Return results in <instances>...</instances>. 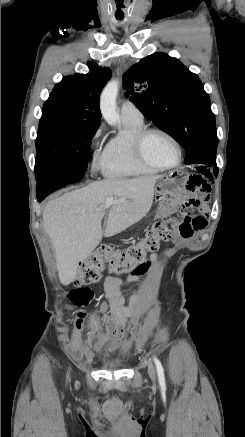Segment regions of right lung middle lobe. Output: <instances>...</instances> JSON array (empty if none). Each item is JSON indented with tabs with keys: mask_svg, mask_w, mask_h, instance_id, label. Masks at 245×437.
I'll return each mask as SVG.
<instances>
[{
	"mask_svg": "<svg viewBox=\"0 0 245 437\" xmlns=\"http://www.w3.org/2000/svg\"><path fill=\"white\" fill-rule=\"evenodd\" d=\"M100 123L60 110H43L36 138V179L48 172L84 174Z\"/></svg>",
	"mask_w": 245,
	"mask_h": 437,
	"instance_id": "dd1d6c3e",
	"label": "right lung middle lobe"
}]
</instances>
